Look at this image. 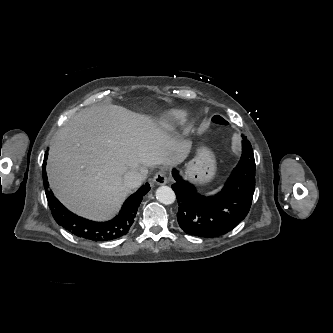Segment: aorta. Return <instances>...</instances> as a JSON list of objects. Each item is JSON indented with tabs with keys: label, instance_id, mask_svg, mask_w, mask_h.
<instances>
[{
	"label": "aorta",
	"instance_id": "aorta-1",
	"mask_svg": "<svg viewBox=\"0 0 333 333\" xmlns=\"http://www.w3.org/2000/svg\"><path fill=\"white\" fill-rule=\"evenodd\" d=\"M156 198L159 202L165 205H170L174 203L176 196L170 187L161 186L156 190Z\"/></svg>",
	"mask_w": 333,
	"mask_h": 333
}]
</instances>
